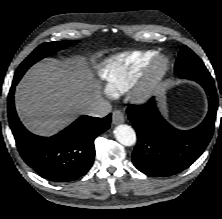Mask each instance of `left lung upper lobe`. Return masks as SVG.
Listing matches in <instances>:
<instances>
[{
  "instance_id": "1",
  "label": "left lung upper lobe",
  "mask_w": 222,
  "mask_h": 219,
  "mask_svg": "<svg viewBox=\"0 0 222 219\" xmlns=\"http://www.w3.org/2000/svg\"><path fill=\"white\" fill-rule=\"evenodd\" d=\"M175 74L196 82H213L202 60L185 45L182 46L175 63Z\"/></svg>"
}]
</instances>
